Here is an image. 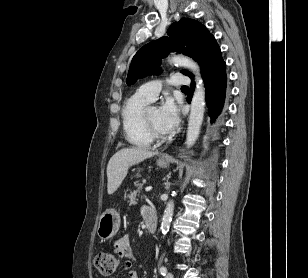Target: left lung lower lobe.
<instances>
[{"mask_svg":"<svg viewBox=\"0 0 308 278\" xmlns=\"http://www.w3.org/2000/svg\"><path fill=\"white\" fill-rule=\"evenodd\" d=\"M191 79L192 84L187 98L188 102L191 101L194 91V81L193 78ZM203 80L206 88V103L209 116L212 118V121H214L220 114L225 100L227 84L225 62L223 61L216 68L203 75Z\"/></svg>","mask_w":308,"mask_h":278,"instance_id":"obj_1","label":"left lung lower lobe"}]
</instances>
